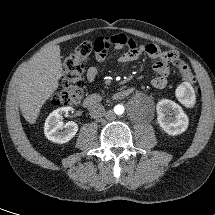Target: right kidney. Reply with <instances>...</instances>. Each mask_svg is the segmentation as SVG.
Returning a JSON list of instances; mask_svg holds the SVG:
<instances>
[{"label": "right kidney", "mask_w": 215, "mask_h": 215, "mask_svg": "<svg viewBox=\"0 0 215 215\" xmlns=\"http://www.w3.org/2000/svg\"><path fill=\"white\" fill-rule=\"evenodd\" d=\"M74 111L72 107H61L49 114L45 121L44 133L48 140L55 143H66L70 141L78 131V125L71 121L62 123L63 115Z\"/></svg>", "instance_id": "1"}]
</instances>
